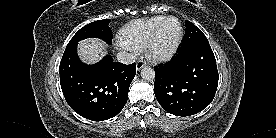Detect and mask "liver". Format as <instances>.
I'll return each instance as SVG.
<instances>
[{
    "instance_id": "6515ba94",
    "label": "liver",
    "mask_w": 276,
    "mask_h": 138,
    "mask_svg": "<svg viewBox=\"0 0 276 138\" xmlns=\"http://www.w3.org/2000/svg\"><path fill=\"white\" fill-rule=\"evenodd\" d=\"M105 44L95 38L83 40L79 43L78 54L84 63H96L104 54Z\"/></svg>"
}]
</instances>
